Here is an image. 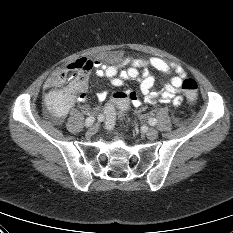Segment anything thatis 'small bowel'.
<instances>
[{
  "instance_id": "c3829d8e",
  "label": "small bowel",
  "mask_w": 233,
  "mask_h": 233,
  "mask_svg": "<svg viewBox=\"0 0 233 233\" xmlns=\"http://www.w3.org/2000/svg\"><path fill=\"white\" fill-rule=\"evenodd\" d=\"M92 65L98 70L100 75L108 78L115 87H122L126 80L139 81L143 101L147 104L156 103L152 92L155 77L148 68L151 67L165 73H174L175 75L170 81L163 85L159 101L163 104L172 103L175 106H179L182 102V97L177 93L186 76V70L177 63L169 62L159 57L125 56L119 51H113L107 54L103 60L92 61ZM44 88L47 90L45 95L47 111L56 123H60L77 102L86 100L88 76L80 81H72L67 86L57 89L51 84L50 75L44 83ZM125 92L128 95L129 104L131 103L134 107L142 105L143 101L135 91L128 89ZM107 95L106 91H100L96 94L100 101L106 100Z\"/></svg>"
}]
</instances>
